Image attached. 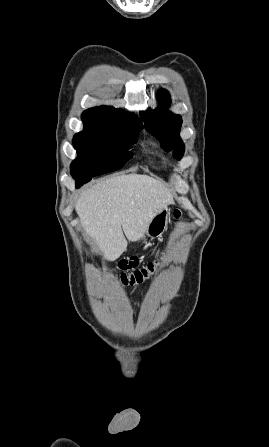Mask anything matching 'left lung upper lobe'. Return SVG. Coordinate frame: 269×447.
Here are the masks:
<instances>
[{
    "label": "left lung upper lobe",
    "mask_w": 269,
    "mask_h": 447,
    "mask_svg": "<svg viewBox=\"0 0 269 447\" xmlns=\"http://www.w3.org/2000/svg\"><path fill=\"white\" fill-rule=\"evenodd\" d=\"M158 98L160 100L159 107L151 111L150 114L142 112L141 118L146 130L160 140L167 151L174 149V156L180 159L184 153V144L179 137L182 124L181 116L167 110L170 96L166 90H160Z\"/></svg>",
    "instance_id": "1"
}]
</instances>
